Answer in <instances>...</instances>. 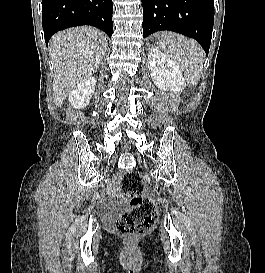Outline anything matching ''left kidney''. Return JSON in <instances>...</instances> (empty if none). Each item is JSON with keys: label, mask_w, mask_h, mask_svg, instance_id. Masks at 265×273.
<instances>
[{"label": "left kidney", "mask_w": 265, "mask_h": 273, "mask_svg": "<svg viewBox=\"0 0 265 273\" xmlns=\"http://www.w3.org/2000/svg\"><path fill=\"white\" fill-rule=\"evenodd\" d=\"M148 68L154 84L162 91H182L186 81L177 64L156 48L148 52Z\"/></svg>", "instance_id": "left-kidney-1"}]
</instances>
